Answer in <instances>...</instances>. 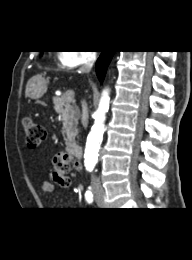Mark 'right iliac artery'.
Here are the masks:
<instances>
[{
  "mask_svg": "<svg viewBox=\"0 0 192 260\" xmlns=\"http://www.w3.org/2000/svg\"><path fill=\"white\" fill-rule=\"evenodd\" d=\"M85 200L87 203H92L93 200H94V197H93V193L91 191V189H88L85 193Z\"/></svg>",
  "mask_w": 192,
  "mask_h": 260,
  "instance_id": "1",
  "label": "right iliac artery"
}]
</instances>
